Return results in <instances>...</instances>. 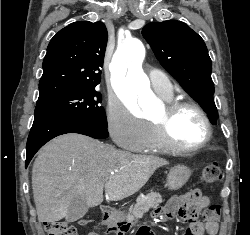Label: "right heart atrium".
<instances>
[{"label": "right heart atrium", "mask_w": 250, "mask_h": 235, "mask_svg": "<svg viewBox=\"0 0 250 235\" xmlns=\"http://www.w3.org/2000/svg\"><path fill=\"white\" fill-rule=\"evenodd\" d=\"M106 122L113 141L120 147L139 151L148 137V124L132 113L122 102L110 100Z\"/></svg>", "instance_id": "right-heart-atrium-1"}]
</instances>
